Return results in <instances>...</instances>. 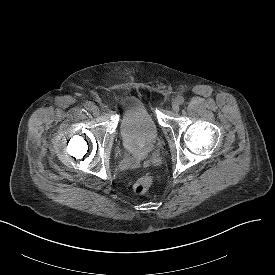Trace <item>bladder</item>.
Instances as JSON below:
<instances>
[{
	"label": "bladder",
	"mask_w": 275,
	"mask_h": 275,
	"mask_svg": "<svg viewBox=\"0 0 275 275\" xmlns=\"http://www.w3.org/2000/svg\"><path fill=\"white\" fill-rule=\"evenodd\" d=\"M121 111L120 134L127 151L136 157H145L158 138V128L144 102L135 96H126Z\"/></svg>",
	"instance_id": "1"
}]
</instances>
